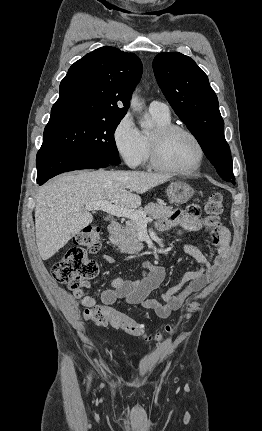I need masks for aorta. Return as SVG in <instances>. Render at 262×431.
<instances>
[{"instance_id":"aorta-1","label":"aorta","mask_w":262,"mask_h":431,"mask_svg":"<svg viewBox=\"0 0 262 431\" xmlns=\"http://www.w3.org/2000/svg\"><path fill=\"white\" fill-rule=\"evenodd\" d=\"M130 106L133 108L134 111H137V112H139L142 109V104L139 101V98L137 96L136 91L132 95ZM140 125L142 128H148L151 126V122L150 121H140Z\"/></svg>"}]
</instances>
